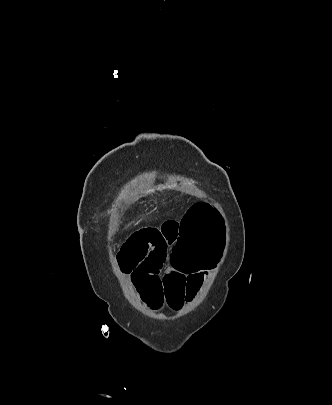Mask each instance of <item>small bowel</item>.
Wrapping results in <instances>:
<instances>
[{
	"instance_id": "c3829d8e",
	"label": "small bowel",
	"mask_w": 332,
	"mask_h": 405,
	"mask_svg": "<svg viewBox=\"0 0 332 405\" xmlns=\"http://www.w3.org/2000/svg\"><path fill=\"white\" fill-rule=\"evenodd\" d=\"M177 221L138 229L123 243L116 254L120 269L130 277L141 302L151 315H162L164 303L179 310L198 292L206 275H181V268L171 264L176 248Z\"/></svg>"
}]
</instances>
